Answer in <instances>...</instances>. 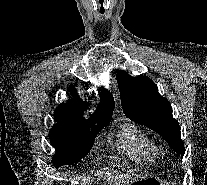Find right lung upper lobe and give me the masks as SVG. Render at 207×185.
I'll use <instances>...</instances> for the list:
<instances>
[{
    "label": "right lung upper lobe",
    "mask_w": 207,
    "mask_h": 185,
    "mask_svg": "<svg viewBox=\"0 0 207 185\" xmlns=\"http://www.w3.org/2000/svg\"><path fill=\"white\" fill-rule=\"evenodd\" d=\"M71 93L73 99L59 105L54 112L55 120L58 121L59 124L83 128L91 127L92 129H101L109 124L114 109V101L107 90H102L101 95L104 97L91 118L92 120L96 118L97 126H94L93 122L86 121L83 118V112L87 109V102L82 101L74 87L71 88Z\"/></svg>",
    "instance_id": "right-lung-upper-lobe-1"
}]
</instances>
